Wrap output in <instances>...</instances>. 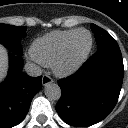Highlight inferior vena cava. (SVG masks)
<instances>
[{"instance_id": "1", "label": "inferior vena cava", "mask_w": 128, "mask_h": 128, "mask_svg": "<svg viewBox=\"0 0 128 128\" xmlns=\"http://www.w3.org/2000/svg\"><path fill=\"white\" fill-rule=\"evenodd\" d=\"M24 69L29 76L37 77L42 74L41 68L35 63L28 62L25 64Z\"/></svg>"}]
</instances>
